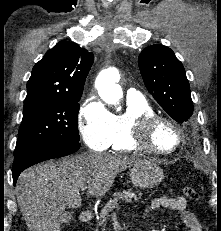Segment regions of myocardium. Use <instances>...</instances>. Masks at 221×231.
I'll use <instances>...</instances> for the list:
<instances>
[{
  "label": "myocardium",
  "instance_id": "1",
  "mask_svg": "<svg viewBox=\"0 0 221 231\" xmlns=\"http://www.w3.org/2000/svg\"><path fill=\"white\" fill-rule=\"evenodd\" d=\"M160 124L170 126L176 134L175 145L168 150L157 149L152 141L153 132ZM131 139L141 149L158 156L174 153L182 144V130L172 119L159 114H145L131 124Z\"/></svg>",
  "mask_w": 221,
  "mask_h": 231
}]
</instances>
